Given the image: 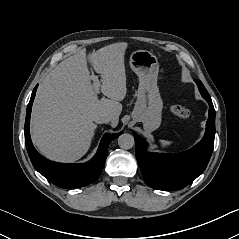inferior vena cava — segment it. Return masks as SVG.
Masks as SVG:
<instances>
[{"instance_id":"1","label":"inferior vena cava","mask_w":239,"mask_h":239,"mask_svg":"<svg viewBox=\"0 0 239 239\" xmlns=\"http://www.w3.org/2000/svg\"><path fill=\"white\" fill-rule=\"evenodd\" d=\"M94 121L97 124L108 123L111 121V116L106 113H101V114L95 116Z\"/></svg>"}]
</instances>
